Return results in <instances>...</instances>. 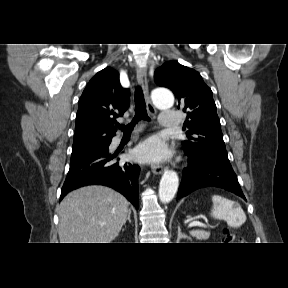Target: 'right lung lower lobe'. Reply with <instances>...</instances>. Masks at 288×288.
Instances as JSON below:
<instances>
[{
    "mask_svg": "<svg viewBox=\"0 0 288 288\" xmlns=\"http://www.w3.org/2000/svg\"><path fill=\"white\" fill-rule=\"evenodd\" d=\"M110 142L100 150L77 160H71L69 172L61 189L60 200L72 190L97 184L114 188L138 208L140 168L133 163L113 162L117 154L109 153Z\"/></svg>",
    "mask_w": 288,
    "mask_h": 288,
    "instance_id": "right-lung-lower-lobe-1",
    "label": "right lung lower lobe"
}]
</instances>
